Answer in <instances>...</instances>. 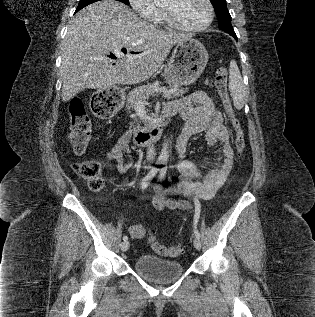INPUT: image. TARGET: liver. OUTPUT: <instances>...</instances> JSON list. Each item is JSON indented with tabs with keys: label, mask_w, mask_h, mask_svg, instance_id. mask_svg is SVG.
Instances as JSON below:
<instances>
[{
	"label": "liver",
	"mask_w": 315,
	"mask_h": 317,
	"mask_svg": "<svg viewBox=\"0 0 315 317\" xmlns=\"http://www.w3.org/2000/svg\"><path fill=\"white\" fill-rule=\"evenodd\" d=\"M191 37L159 30L115 0L93 3L72 18L62 43V100L85 88L141 83L160 69L173 45ZM122 47L134 53L123 56ZM109 53L118 58L116 64Z\"/></svg>",
	"instance_id": "1"
}]
</instances>
